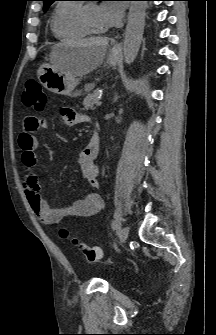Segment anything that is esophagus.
<instances>
[{"instance_id":"obj_1","label":"esophagus","mask_w":216,"mask_h":335,"mask_svg":"<svg viewBox=\"0 0 216 335\" xmlns=\"http://www.w3.org/2000/svg\"><path fill=\"white\" fill-rule=\"evenodd\" d=\"M121 48V44L120 43H117L115 46H114V50H119Z\"/></svg>"}]
</instances>
